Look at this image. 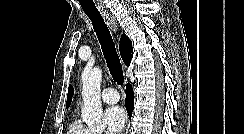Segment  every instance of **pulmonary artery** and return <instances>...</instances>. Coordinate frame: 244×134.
Segmentation results:
<instances>
[{
    "label": "pulmonary artery",
    "mask_w": 244,
    "mask_h": 134,
    "mask_svg": "<svg viewBox=\"0 0 244 134\" xmlns=\"http://www.w3.org/2000/svg\"><path fill=\"white\" fill-rule=\"evenodd\" d=\"M101 99L106 104H115L119 101V94L114 88H106L101 94Z\"/></svg>",
    "instance_id": "1"
}]
</instances>
